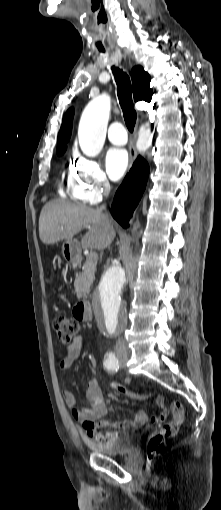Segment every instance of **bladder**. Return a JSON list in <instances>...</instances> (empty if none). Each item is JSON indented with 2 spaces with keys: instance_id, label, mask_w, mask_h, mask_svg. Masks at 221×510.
<instances>
[{
  "instance_id": "bladder-1",
  "label": "bladder",
  "mask_w": 221,
  "mask_h": 510,
  "mask_svg": "<svg viewBox=\"0 0 221 510\" xmlns=\"http://www.w3.org/2000/svg\"><path fill=\"white\" fill-rule=\"evenodd\" d=\"M136 446V436L134 434H124L118 439L110 442L96 443L89 442L88 447L98 453L108 457H116L128 454Z\"/></svg>"
}]
</instances>
